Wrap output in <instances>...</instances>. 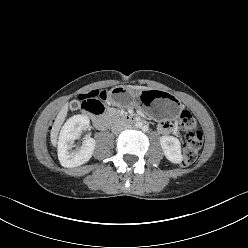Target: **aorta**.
<instances>
[{"label": "aorta", "instance_id": "obj_1", "mask_svg": "<svg viewBox=\"0 0 248 248\" xmlns=\"http://www.w3.org/2000/svg\"><path fill=\"white\" fill-rule=\"evenodd\" d=\"M137 126H138L139 128H142V129H145V128H146V126H145V125H142L141 123H139Z\"/></svg>", "mask_w": 248, "mask_h": 248}]
</instances>
